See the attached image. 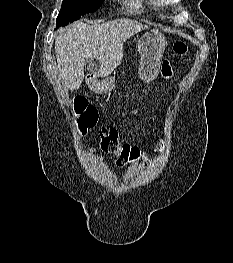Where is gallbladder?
<instances>
[{
	"label": "gallbladder",
	"instance_id": "1",
	"mask_svg": "<svg viewBox=\"0 0 233 263\" xmlns=\"http://www.w3.org/2000/svg\"><path fill=\"white\" fill-rule=\"evenodd\" d=\"M87 69L90 70V71H93L92 62H89L87 64Z\"/></svg>",
	"mask_w": 233,
	"mask_h": 263
}]
</instances>
